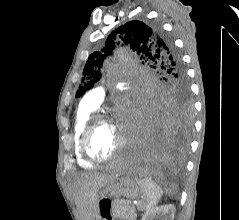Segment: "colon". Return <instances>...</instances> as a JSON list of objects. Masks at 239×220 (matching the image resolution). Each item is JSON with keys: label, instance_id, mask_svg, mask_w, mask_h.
Returning a JSON list of instances; mask_svg holds the SVG:
<instances>
[{"label": "colon", "instance_id": "5ec220e1", "mask_svg": "<svg viewBox=\"0 0 239 220\" xmlns=\"http://www.w3.org/2000/svg\"><path fill=\"white\" fill-rule=\"evenodd\" d=\"M110 208H111V202L109 200H104L100 203V211L101 215L106 219V220H111L110 217Z\"/></svg>", "mask_w": 239, "mask_h": 220}]
</instances>
